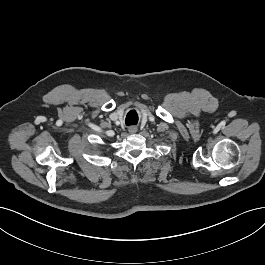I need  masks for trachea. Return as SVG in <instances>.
Returning a JSON list of instances; mask_svg holds the SVG:
<instances>
[{"instance_id":"trachea-1","label":"trachea","mask_w":265,"mask_h":265,"mask_svg":"<svg viewBox=\"0 0 265 265\" xmlns=\"http://www.w3.org/2000/svg\"><path fill=\"white\" fill-rule=\"evenodd\" d=\"M137 122H138V116H137V114H136V112H129L128 114H127V117H126V120H125V123H126V125H135V124H137Z\"/></svg>"}]
</instances>
